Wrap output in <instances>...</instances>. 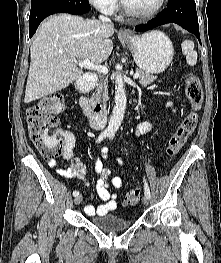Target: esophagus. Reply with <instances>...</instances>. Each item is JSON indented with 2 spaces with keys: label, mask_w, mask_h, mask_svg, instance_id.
Here are the masks:
<instances>
[{
  "label": "esophagus",
  "mask_w": 221,
  "mask_h": 263,
  "mask_svg": "<svg viewBox=\"0 0 221 263\" xmlns=\"http://www.w3.org/2000/svg\"><path fill=\"white\" fill-rule=\"evenodd\" d=\"M119 35L122 37H130L131 36V32L127 29H120L119 30Z\"/></svg>",
  "instance_id": "esophagus-1"
}]
</instances>
